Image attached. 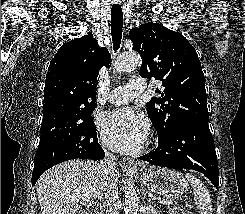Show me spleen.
I'll list each match as a JSON object with an SVG mask.
<instances>
[{
  "instance_id": "3e777b00",
  "label": "spleen",
  "mask_w": 245,
  "mask_h": 214,
  "mask_svg": "<svg viewBox=\"0 0 245 214\" xmlns=\"http://www.w3.org/2000/svg\"><path fill=\"white\" fill-rule=\"evenodd\" d=\"M186 178L193 188L194 200L198 206L200 214H212V203L209 192L202 181L190 173H186Z\"/></svg>"
}]
</instances>
